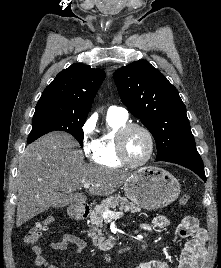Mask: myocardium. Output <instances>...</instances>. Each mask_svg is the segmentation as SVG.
Returning <instances> with one entry per match:
<instances>
[{
	"instance_id": "f54148a6",
	"label": "myocardium",
	"mask_w": 221,
	"mask_h": 268,
	"mask_svg": "<svg viewBox=\"0 0 221 268\" xmlns=\"http://www.w3.org/2000/svg\"><path fill=\"white\" fill-rule=\"evenodd\" d=\"M132 129H140L142 130L148 137L149 140V150L147 155L140 162H132L127 158L125 151V138L129 131ZM155 151V138L151 130L143 124L140 123H126L122 127H120L116 133V152L119 161L127 167L130 168H139L146 163H148Z\"/></svg>"
}]
</instances>
